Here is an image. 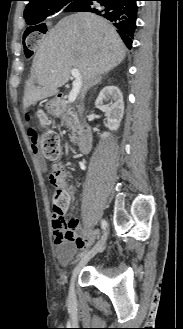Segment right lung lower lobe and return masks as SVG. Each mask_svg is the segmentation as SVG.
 <instances>
[{
  "label": "right lung lower lobe",
  "mask_w": 183,
  "mask_h": 329,
  "mask_svg": "<svg viewBox=\"0 0 183 329\" xmlns=\"http://www.w3.org/2000/svg\"><path fill=\"white\" fill-rule=\"evenodd\" d=\"M138 0H82L71 12H92L102 16L118 28L128 48L132 46L136 28ZM29 56V55H28Z\"/></svg>",
  "instance_id": "98d812e1"
}]
</instances>
